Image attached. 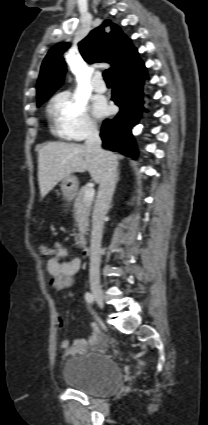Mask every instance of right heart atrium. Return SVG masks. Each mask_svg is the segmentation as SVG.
Returning <instances> with one entry per match:
<instances>
[{
    "mask_svg": "<svg viewBox=\"0 0 208 425\" xmlns=\"http://www.w3.org/2000/svg\"><path fill=\"white\" fill-rule=\"evenodd\" d=\"M55 130L72 140H84L97 133L87 102L68 91L57 94L50 105Z\"/></svg>",
    "mask_w": 208,
    "mask_h": 425,
    "instance_id": "1",
    "label": "right heart atrium"
}]
</instances>
